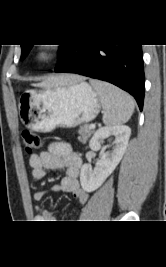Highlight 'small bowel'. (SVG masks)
<instances>
[{"instance_id":"small-bowel-1","label":"small bowel","mask_w":166,"mask_h":267,"mask_svg":"<svg viewBox=\"0 0 166 267\" xmlns=\"http://www.w3.org/2000/svg\"><path fill=\"white\" fill-rule=\"evenodd\" d=\"M31 175L35 181H41L47 172L64 169L65 176L62 178L60 185L51 188L53 192H67L72 194L77 201L84 205L88 200V194L80 187L79 174L82 166V160L75 153L71 146L64 142H54L45 151L33 154L29 158ZM46 191L40 190L34 194V200L39 202L43 199ZM36 215L38 222H47V220H58V217L47 211H40ZM58 222V221H55Z\"/></svg>"}]
</instances>
